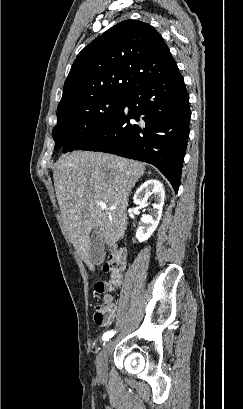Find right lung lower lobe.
Wrapping results in <instances>:
<instances>
[{
	"mask_svg": "<svg viewBox=\"0 0 243 409\" xmlns=\"http://www.w3.org/2000/svg\"><path fill=\"white\" fill-rule=\"evenodd\" d=\"M190 117L189 94L177 69L135 87L111 123L74 150L112 153L150 163L177 192Z\"/></svg>",
	"mask_w": 243,
	"mask_h": 409,
	"instance_id": "obj_1",
	"label": "right lung lower lobe"
}]
</instances>
